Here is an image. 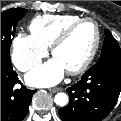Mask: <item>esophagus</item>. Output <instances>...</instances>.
Listing matches in <instances>:
<instances>
[{"mask_svg": "<svg viewBox=\"0 0 121 121\" xmlns=\"http://www.w3.org/2000/svg\"><path fill=\"white\" fill-rule=\"evenodd\" d=\"M61 89L60 88H52V89H49V91L51 92V93H56V92H58V91H60Z\"/></svg>", "mask_w": 121, "mask_h": 121, "instance_id": "esophagus-1", "label": "esophagus"}]
</instances>
